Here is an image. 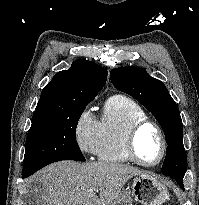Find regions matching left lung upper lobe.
Listing matches in <instances>:
<instances>
[{
  "label": "left lung upper lobe",
  "instance_id": "1",
  "mask_svg": "<svg viewBox=\"0 0 199 205\" xmlns=\"http://www.w3.org/2000/svg\"><path fill=\"white\" fill-rule=\"evenodd\" d=\"M110 79L118 90L138 100L160 123L168 144L162 172L183 182L187 169L183 125L178 106L164 83L144 69L132 66L112 69Z\"/></svg>",
  "mask_w": 199,
  "mask_h": 205
}]
</instances>
